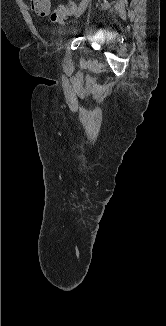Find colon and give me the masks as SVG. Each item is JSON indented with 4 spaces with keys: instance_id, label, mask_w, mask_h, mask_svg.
<instances>
[{
    "instance_id": "1",
    "label": "colon",
    "mask_w": 166,
    "mask_h": 326,
    "mask_svg": "<svg viewBox=\"0 0 166 326\" xmlns=\"http://www.w3.org/2000/svg\"><path fill=\"white\" fill-rule=\"evenodd\" d=\"M72 8V3L60 5L55 11L52 12L51 20L54 22L60 20L67 12L71 11Z\"/></svg>"
}]
</instances>
